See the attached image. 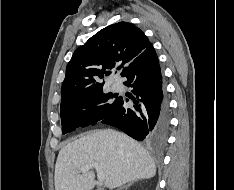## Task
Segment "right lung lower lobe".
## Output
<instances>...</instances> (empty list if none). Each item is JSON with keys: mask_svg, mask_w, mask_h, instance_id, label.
Listing matches in <instances>:
<instances>
[{"mask_svg": "<svg viewBox=\"0 0 234 190\" xmlns=\"http://www.w3.org/2000/svg\"><path fill=\"white\" fill-rule=\"evenodd\" d=\"M122 77L125 85L132 87L134 103L118 97L113 112L101 122L115 126L132 138L153 144H162L169 125L168 103L164 96L159 60L153 46L147 47L127 67Z\"/></svg>", "mask_w": 234, "mask_h": 190, "instance_id": "1", "label": "right lung lower lobe"}]
</instances>
